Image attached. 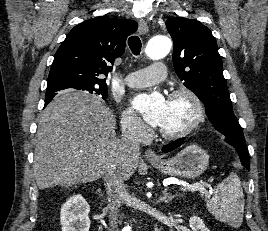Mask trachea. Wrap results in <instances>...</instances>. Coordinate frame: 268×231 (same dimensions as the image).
Listing matches in <instances>:
<instances>
[{
    "instance_id": "trachea-1",
    "label": "trachea",
    "mask_w": 268,
    "mask_h": 231,
    "mask_svg": "<svg viewBox=\"0 0 268 231\" xmlns=\"http://www.w3.org/2000/svg\"><path fill=\"white\" fill-rule=\"evenodd\" d=\"M128 45L134 55H139L142 47L141 40L138 36H131L128 39Z\"/></svg>"
}]
</instances>
